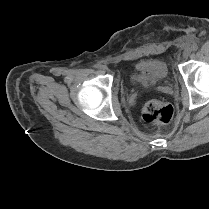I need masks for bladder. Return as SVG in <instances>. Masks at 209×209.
I'll return each mask as SVG.
<instances>
[{"label":"bladder","mask_w":209,"mask_h":209,"mask_svg":"<svg viewBox=\"0 0 209 209\" xmlns=\"http://www.w3.org/2000/svg\"><path fill=\"white\" fill-rule=\"evenodd\" d=\"M168 78V68L160 59H142L136 62L130 80L135 86L147 88L163 83Z\"/></svg>","instance_id":"31cf9c89"}]
</instances>
